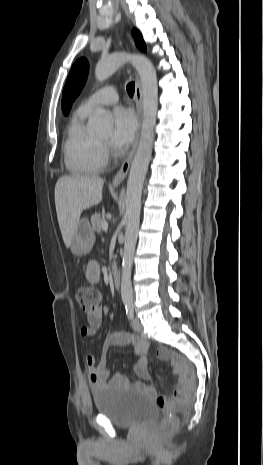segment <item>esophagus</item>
Returning <instances> with one entry per match:
<instances>
[{"mask_svg": "<svg viewBox=\"0 0 263 465\" xmlns=\"http://www.w3.org/2000/svg\"><path fill=\"white\" fill-rule=\"evenodd\" d=\"M134 99H135V104H136V112H137V118H138V131L135 137V141L133 143L132 149L130 150L129 154L127 157L124 159L121 168L117 172V174L114 176L112 180L113 185H118L123 182V180L126 178L130 165L132 163L138 141H139V135H140V129L142 125V117H143V98H142V90H141V84L140 80L138 77V74H136V85H135V94H134Z\"/></svg>", "mask_w": 263, "mask_h": 465, "instance_id": "34e87169", "label": "esophagus"}]
</instances>
